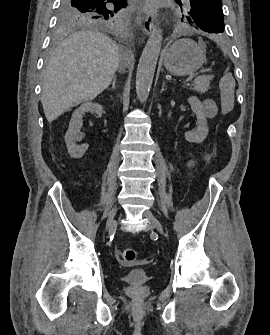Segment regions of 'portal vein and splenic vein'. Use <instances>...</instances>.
Segmentation results:
<instances>
[{"label": "portal vein and splenic vein", "instance_id": "portal-vein-and-splenic-vein-1", "mask_svg": "<svg viewBox=\"0 0 270 335\" xmlns=\"http://www.w3.org/2000/svg\"><path fill=\"white\" fill-rule=\"evenodd\" d=\"M196 76H198V75H196ZM195 78H196V77L194 76V74H191V76H189L188 79H185V82H186V83H187V82L192 83V82L194 81Z\"/></svg>", "mask_w": 270, "mask_h": 335}]
</instances>
